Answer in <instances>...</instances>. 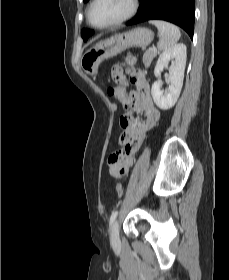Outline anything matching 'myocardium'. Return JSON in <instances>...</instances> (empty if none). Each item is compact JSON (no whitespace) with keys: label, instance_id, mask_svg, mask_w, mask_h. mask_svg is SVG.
I'll return each instance as SVG.
<instances>
[{"label":"myocardium","instance_id":"myocardium-1","mask_svg":"<svg viewBox=\"0 0 229 280\" xmlns=\"http://www.w3.org/2000/svg\"><path fill=\"white\" fill-rule=\"evenodd\" d=\"M97 2H98V0H93L91 2V5L89 6V9L87 12V20H88L89 24L97 29H106V28L120 25V24L130 20L132 17H134L139 9V0H130V8H129V11L125 15H123L122 17H120L110 23H107L104 25H95L92 23L91 14H92L93 7L95 6V4Z\"/></svg>","mask_w":229,"mask_h":280}]
</instances>
